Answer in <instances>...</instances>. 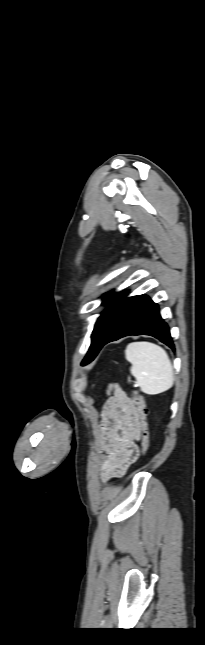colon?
<instances>
[{"label":"colon","mask_w":205,"mask_h":645,"mask_svg":"<svg viewBox=\"0 0 205 645\" xmlns=\"http://www.w3.org/2000/svg\"><path fill=\"white\" fill-rule=\"evenodd\" d=\"M131 400L135 406L136 413L138 416L140 435H141L142 455H145L149 449V444H150L149 430H148V425L146 420L147 411H146L145 401L142 395L135 392H132Z\"/></svg>","instance_id":"5ec220e1"}]
</instances>
